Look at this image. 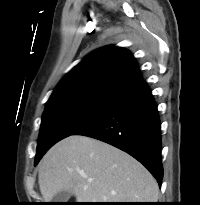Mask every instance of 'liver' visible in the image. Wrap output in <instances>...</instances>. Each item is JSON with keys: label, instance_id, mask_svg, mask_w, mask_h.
<instances>
[{"label": "liver", "instance_id": "6515ba94", "mask_svg": "<svg viewBox=\"0 0 200 205\" xmlns=\"http://www.w3.org/2000/svg\"><path fill=\"white\" fill-rule=\"evenodd\" d=\"M38 183L45 202L63 190L77 202H156L159 195L156 180L137 160L78 135L59 141L44 155Z\"/></svg>", "mask_w": 200, "mask_h": 205}]
</instances>
